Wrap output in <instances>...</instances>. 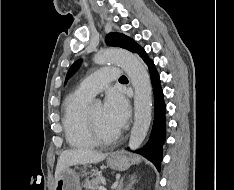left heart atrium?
Segmentation results:
<instances>
[{"instance_id": "39dd6f15", "label": "left heart atrium", "mask_w": 234, "mask_h": 190, "mask_svg": "<svg viewBox=\"0 0 234 190\" xmlns=\"http://www.w3.org/2000/svg\"><path fill=\"white\" fill-rule=\"evenodd\" d=\"M104 112L108 121L116 128H121L129 117V105L126 98L116 91L107 94Z\"/></svg>"}]
</instances>
